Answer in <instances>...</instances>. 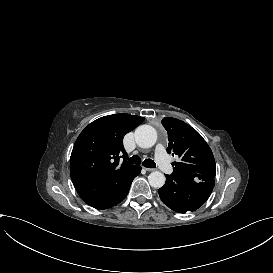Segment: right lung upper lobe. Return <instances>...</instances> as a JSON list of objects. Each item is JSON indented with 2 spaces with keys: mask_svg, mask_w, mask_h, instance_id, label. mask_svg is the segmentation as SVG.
<instances>
[{
  "mask_svg": "<svg viewBox=\"0 0 273 273\" xmlns=\"http://www.w3.org/2000/svg\"><path fill=\"white\" fill-rule=\"evenodd\" d=\"M144 119L126 113L104 116L78 136L70 157V174L78 194L90 206L109 203L116 188L137 168L124 158L123 138Z\"/></svg>",
  "mask_w": 273,
  "mask_h": 273,
  "instance_id": "1",
  "label": "right lung upper lobe"
}]
</instances>
